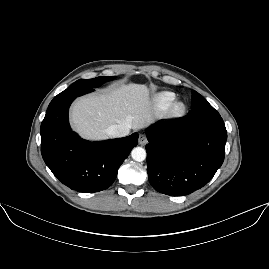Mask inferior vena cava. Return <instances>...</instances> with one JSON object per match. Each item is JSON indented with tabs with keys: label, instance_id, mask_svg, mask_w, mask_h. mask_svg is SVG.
Instances as JSON below:
<instances>
[{
	"label": "inferior vena cava",
	"instance_id": "602c4592",
	"mask_svg": "<svg viewBox=\"0 0 269 269\" xmlns=\"http://www.w3.org/2000/svg\"><path fill=\"white\" fill-rule=\"evenodd\" d=\"M130 127L127 124H116L106 129L107 135L111 137H124L129 134Z\"/></svg>",
	"mask_w": 269,
	"mask_h": 269
}]
</instances>
